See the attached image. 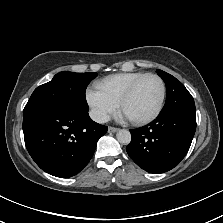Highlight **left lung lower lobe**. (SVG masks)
Masks as SVG:
<instances>
[{
	"mask_svg": "<svg viewBox=\"0 0 223 223\" xmlns=\"http://www.w3.org/2000/svg\"><path fill=\"white\" fill-rule=\"evenodd\" d=\"M196 130L195 111L159 114L150 124L131 129L128 155L142 169L163 173L177 166L188 152Z\"/></svg>",
	"mask_w": 223,
	"mask_h": 223,
	"instance_id": "obj_1",
	"label": "left lung lower lobe"
}]
</instances>
